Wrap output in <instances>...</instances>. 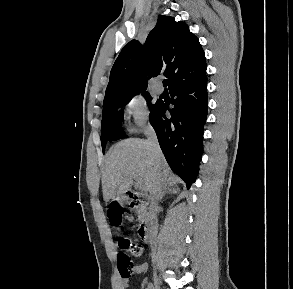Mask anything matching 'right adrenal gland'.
<instances>
[{"mask_svg": "<svg viewBox=\"0 0 293 289\" xmlns=\"http://www.w3.org/2000/svg\"><path fill=\"white\" fill-rule=\"evenodd\" d=\"M179 190L178 188H169V187H165L160 195V200L163 199V197L165 196V194H170V193H177Z\"/></svg>", "mask_w": 293, "mask_h": 289, "instance_id": "obj_1", "label": "right adrenal gland"}]
</instances>
